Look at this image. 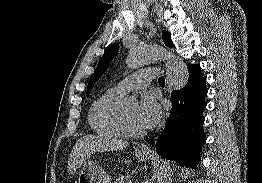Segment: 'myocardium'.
I'll return each instance as SVG.
<instances>
[{
  "mask_svg": "<svg viewBox=\"0 0 262 183\" xmlns=\"http://www.w3.org/2000/svg\"><path fill=\"white\" fill-rule=\"evenodd\" d=\"M121 125L124 133L130 137H142L147 133L145 130L135 129L132 127L124 111L121 112Z\"/></svg>",
  "mask_w": 262,
  "mask_h": 183,
  "instance_id": "myocardium-1",
  "label": "myocardium"
}]
</instances>
